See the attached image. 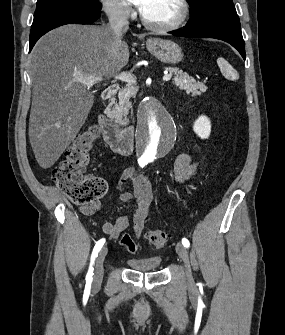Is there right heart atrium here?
Returning a JSON list of instances; mask_svg holds the SVG:
<instances>
[{
	"label": "right heart atrium",
	"instance_id": "obj_1",
	"mask_svg": "<svg viewBox=\"0 0 285 335\" xmlns=\"http://www.w3.org/2000/svg\"><path fill=\"white\" fill-rule=\"evenodd\" d=\"M103 9L108 19L114 23H126L135 16L131 1H103Z\"/></svg>",
	"mask_w": 285,
	"mask_h": 335
}]
</instances>
